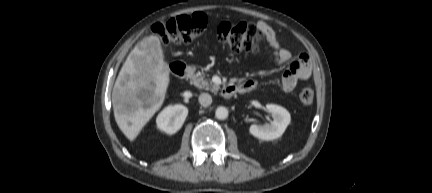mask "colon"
Instances as JSON below:
<instances>
[{"instance_id": "obj_1", "label": "colon", "mask_w": 432, "mask_h": 193, "mask_svg": "<svg viewBox=\"0 0 432 193\" xmlns=\"http://www.w3.org/2000/svg\"><path fill=\"white\" fill-rule=\"evenodd\" d=\"M206 27V15L197 12L155 23L151 30L165 44H188L200 37ZM216 35L218 41L233 53L256 52L261 38V32L253 24L245 22H222L218 25ZM299 99L303 105H311L314 99L313 90L310 87L303 88Z\"/></svg>"}]
</instances>
